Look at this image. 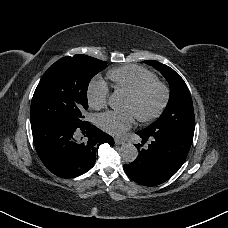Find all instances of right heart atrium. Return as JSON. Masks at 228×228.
Segmentation results:
<instances>
[{
    "instance_id": "1",
    "label": "right heart atrium",
    "mask_w": 228,
    "mask_h": 228,
    "mask_svg": "<svg viewBox=\"0 0 228 228\" xmlns=\"http://www.w3.org/2000/svg\"><path fill=\"white\" fill-rule=\"evenodd\" d=\"M109 95L107 85L98 81L92 83L88 90V103L92 109L99 110L106 106Z\"/></svg>"
}]
</instances>
